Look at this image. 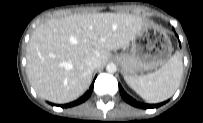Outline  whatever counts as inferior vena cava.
<instances>
[{
    "instance_id": "obj_1",
    "label": "inferior vena cava",
    "mask_w": 203,
    "mask_h": 123,
    "mask_svg": "<svg viewBox=\"0 0 203 123\" xmlns=\"http://www.w3.org/2000/svg\"><path fill=\"white\" fill-rule=\"evenodd\" d=\"M86 66L91 69L94 70L96 68H98L100 66V62L97 58L92 57V58H88L86 60Z\"/></svg>"
}]
</instances>
